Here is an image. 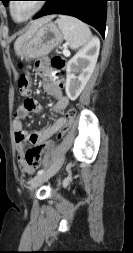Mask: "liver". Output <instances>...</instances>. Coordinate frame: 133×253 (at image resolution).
<instances>
[{
	"label": "liver",
	"mask_w": 133,
	"mask_h": 253,
	"mask_svg": "<svg viewBox=\"0 0 133 253\" xmlns=\"http://www.w3.org/2000/svg\"><path fill=\"white\" fill-rule=\"evenodd\" d=\"M54 17H55L54 15H49V16H45V17H42L38 20L33 21L31 23L29 29L27 30V32L25 34L21 35L20 37H18L17 40L15 41L14 49H15L16 53H18L19 48L21 47V45L23 44V42L26 39H28L31 35H33L40 26H42L45 23H48Z\"/></svg>",
	"instance_id": "6515ba94"
}]
</instances>
